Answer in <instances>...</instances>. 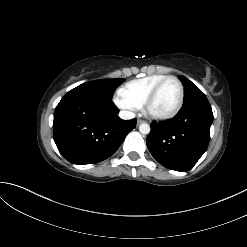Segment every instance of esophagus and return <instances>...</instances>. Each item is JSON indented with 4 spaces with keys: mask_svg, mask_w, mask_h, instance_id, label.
Segmentation results:
<instances>
[{
    "mask_svg": "<svg viewBox=\"0 0 247 247\" xmlns=\"http://www.w3.org/2000/svg\"><path fill=\"white\" fill-rule=\"evenodd\" d=\"M144 121L143 120H141V119H138L137 120V124L139 125V124H141V123H143Z\"/></svg>",
    "mask_w": 247,
    "mask_h": 247,
    "instance_id": "1",
    "label": "esophagus"
}]
</instances>
